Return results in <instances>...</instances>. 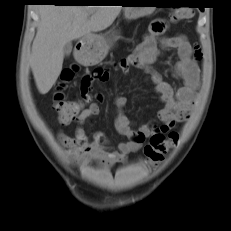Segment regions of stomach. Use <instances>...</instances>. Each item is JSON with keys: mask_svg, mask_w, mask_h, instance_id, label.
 <instances>
[{"mask_svg": "<svg viewBox=\"0 0 231 231\" xmlns=\"http://www.w3.org/2000/svg\"><path fill=\"white\" fill-rule=\"evenodd\" d=\"M132 4H154L152 0H132ZM155 10V7H125L124 16L128 20H135L147 16ZM115 33L107 35H92L84 39L81 49L78 51L77 58L84 65H95L101 62L116 40Z\"/></svg>", "mask_w": 231, "mask_h": 231, "instance_id": "1", "label": "stomach"}]
</instances>
